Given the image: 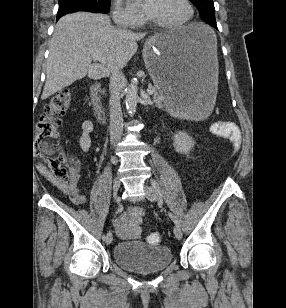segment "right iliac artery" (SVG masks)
I'll return each mask as SVG.
<instances>
[{"label":"right iliac artery","instance_id":"obj_1","mask_svg":"<svg viewBox=\"0 0 286 308\" xmlns=\"http://www.w3.org/2000/svg\"><path fill=\"white\" fill-rule=\"evenodd\" d=\"M118 212H123V204H122V203H119V204H118L117 212H116V213H118ZM105 238H106V236L103 235V239H104V240H105Z\"/></svg>","mask_w":286,"mask_h":308}]
</instances>
